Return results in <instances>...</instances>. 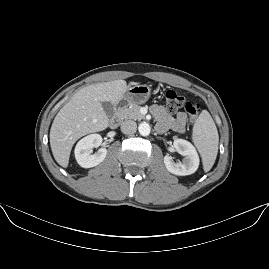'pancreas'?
<instances>
[{
	"label": "pancreas",
	"instance_id": "obj_1",
	"mask_svg": "<svg viewBox=\"0 0 269 269\" xmlns=\"http://www.w3.org/2000/svg\"><path fill=\"white\" fill-rule=\"evenodd\" d=\"M140 106L136 104H132L128 108H122L119 110L117 115L120 119H135V120H142L145 116L140 113Z\"/></svg>",
	"mask_w": 269,
	"mask_h": 269
}]
</instances>
